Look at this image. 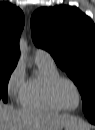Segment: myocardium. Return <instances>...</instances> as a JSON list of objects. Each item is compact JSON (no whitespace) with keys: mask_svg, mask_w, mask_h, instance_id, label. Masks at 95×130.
Here are the masks:
<instances>
[{"mask_svg":"<svg viewBox=\"0 0 95 130\" xmlns=\"http://www.w3.org/2000/svg\"><path fill=\"white\" fill-rule=\"evenodd\" d=\"M63 83H69L77 90L78 95H79V104H78L77 107H75V108H68L62 102V100L60 98V95H59V88H60L61 84H63ZM50 94H51V97L53 98V100L63 110H66V111H70V112L76 111V110H78L81 107V105L83 103V93H82L81 88L79 87V85L75 81H73L72 79H70L68 77L60 76V77L56 78L55 80H53L51 85H50Z\"/></svg>","mask_w":95,"mask_h":130,"instance_id":"obj_1","label":"myocardium"}]
</instances>
